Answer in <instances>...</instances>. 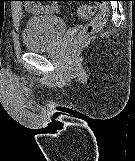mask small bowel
I'll list each match as a JSON object with an SVG mask.
<instances>
[{
  "label": "small bowel",
  "mask_w": 135,
  "mask_h": 161,
  "mask_svg": "<svg viewBox=\"0 0 135 161\" xmlns=\"http://www.w3.org/2000/svg\"><path fill=\"white\" fill-rule=\"evenodd\" d=\"M25 8L32 13H49L56 10L55 5L47 7H37L33 1H23Z\"/></svg>",
  "instance_id": "c3829d8e"
}]
</instances>
